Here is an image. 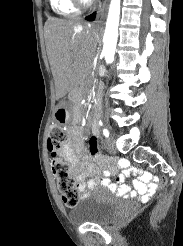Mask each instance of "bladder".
<instances>
[{"mask_svg": "<svg viewBox=\"0 0 183 246\" xmlns=\"http://www.w3.org/2000/svg\"><path fill=\"white\" fill-rule=\"evenodd\" d=\"M117 200L106 189L100 188L74 208L70 217L79 223L107 224L117 213Z\"/></svg>", "mask_w": 183, "mask_h": 246, "instance_id": "bladder-1", "label": "bladder"}]
</instances>
